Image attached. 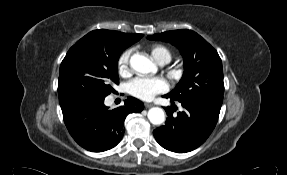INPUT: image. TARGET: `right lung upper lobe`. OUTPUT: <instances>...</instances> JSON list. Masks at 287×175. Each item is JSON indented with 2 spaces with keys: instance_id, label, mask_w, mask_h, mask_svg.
Returning a JSON list of instances; mask_svg holds the SVG:
<instances>
[{
  "instance_id": "right-lung-upper-lobe-1",
  "label": "right lung upper lobe",
  "mask_w": 287,
  "mask_h": 175,
  "mask_svg": "<svg viewBox=\"0 0 287 175\" xmlns=\"http://www.w3.org/2000/svg\"><path fill=\"white\" fill-rule=\"evenodd\" d=\"M88 34L93 35L97 39H100L104 42H121L128 45V47L140 40L143 36L142 34H126L118 31H109L104 29L94 30Z\"/></svg>"
}]
</instances>
